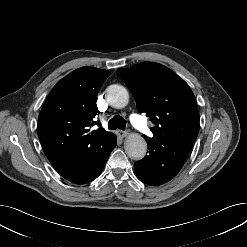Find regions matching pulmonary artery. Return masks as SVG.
Listing matches in <instances>:
<instances>
[{
  "label": "pulmonary artery",
  "instance_id": "obj_1",
  "mask_svg": "<svg viewBox=\"0 0 247 247\" xmlns=\"http://www.w3.org/2000/svg\"><path fill=\"white\" fill-rule=\"evenodd\" d=\"M131 123L139 129L141 132L148 134L150 133V127L146 123V121L138 114H132L130 116Z\"/></svg>",
  "mask_w": 247,
  "mask_h": 247
}]
</instances>
